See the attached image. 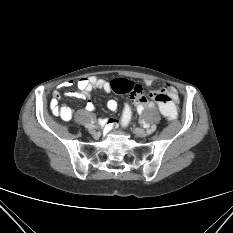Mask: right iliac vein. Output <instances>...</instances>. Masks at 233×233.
I'll return each mask as SVG.
<instances>
[{
    "label": "right iliac vein",
    "mask_w": 233,
    "mask_h": 233,
    "mask_svg": "<svg viewBox=\"0 0 233 233\" xmlns=\"http://www.w3.org/2000/svg\"><path fill=\"white\" fill-rule=\"evenodd\" d=\"M89 133L95 137H98L100 134L99 131L97 130V128H94V127L89 129Z\"/></svg>",
    "instance_id": "right-iliac-vein-1"
}]
</instances>
